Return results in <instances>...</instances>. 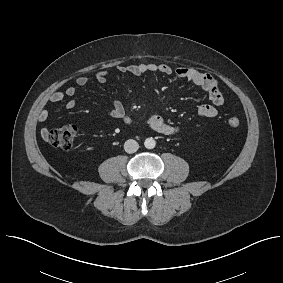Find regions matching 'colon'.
<instances>
[{
	"label": "colon",
	"mask_w": 283,
	"mask_h": 283,
	"mask_svg": "<svg viewBox=\"0 0 283 283\" xmlns=\"http://www.w3.org/2000/svg\"><path fill=\"white\" fill-rule=\"evenodd\" d=\"M227 124L232 128H237L240 126L241 121L237 117H230L227 120ZM77 134V126L73 124H67L50 130L47 133V139L53 146L68 151L74 147Z\"/></svg>",
	"instance_id": "obj_1"
}]
</instances>
